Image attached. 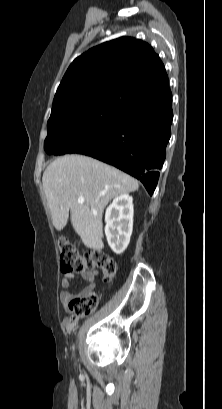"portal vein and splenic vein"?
<instances>
[{
	"label": "portal vein and splenic vein",
	"mask_w": 222,
	"mask_h": 409,
	"mask_svg": "<svg viewBox=\"0 0 222 409\" xmlns=\"http://www.w3.org/2000/svg\"><path fill=\"white\" fill-rule=\"evenodd\" d=\"M77 202H78L79 204H83V203L85 202L84 197H83V196H79V197L77 198Z\"/></svg>",
	"instance_id": "obj_1"
}]
</instances>
